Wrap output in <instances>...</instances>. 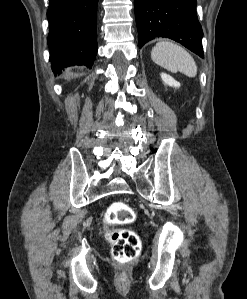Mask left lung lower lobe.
<instances>
[{"label": "left lung lower lobe", "mask_w": 247, "mask_h": 299, "mask_svg": "<svg viewBox=\"0 0 247 299\" xmlns=\"http://www.w3.org/2000/svg\"><path fill=\"white\" fill-rule=\"evenodd\" d=\"M196 4V0H134L139 47L166 37L204 58Z\"/></svg>", "instance_id": "left-lung-lower-lobe-1"}]
</instances>
